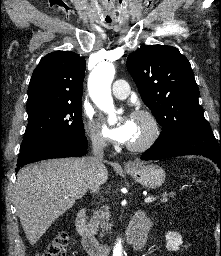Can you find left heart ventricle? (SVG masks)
Wrapping results in <instances>:
<instances>
[{"mask_svg": "<svg viewBox=\"0 0 221 256\" xmlns=\"http://www.w3.org/2000/svg\"><path fill=\"white\" fill-rule=\"evenodd\" d=\"M135 122V133L133 135L131 143L142 140L148 133V125L143 118L133 117Z\"/></svg>", "mask_w": 221, "mask_h": 256, "instance_id": "b2bd125f", "label": "left heart ventricle"}]
</instances>
